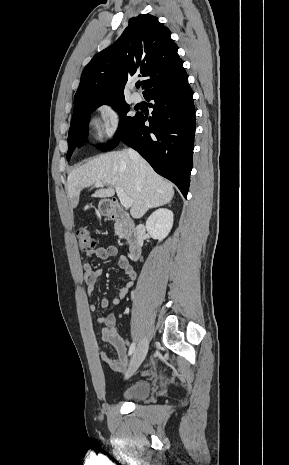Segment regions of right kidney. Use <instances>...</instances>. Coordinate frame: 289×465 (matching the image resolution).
Listing matches in <instances>:
<instances>
[{"label": "right kidney", "instance_id": "ca27d5eb", "mask_svg": "<svg viewBox=\"0 0 289 465\" xmlns=\"http://www.w3.org/2000/svg\"><path fill=\"white\" fill-rule=\"evenodd\" d=\"M173 226V212L166 208H160L153 212L146 221V229L154 239L162 241L171 231Z\"/></svg>", "mask_w": 289, "mask_h": 465}]
</instances>
